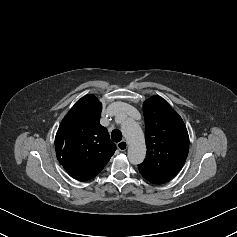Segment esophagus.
I'll return each mask as SVG.
<instances>
[{
  "label": "esophagus",
  "instance_id": "34e87169",
  "mask_svg": "<svg viewBox=\"0 0 237 237\" xmlns=\"http://www.w3.org/2000/svg\"><path fill=\"white\" fill-rule=\"evenodd\" d=\"M117 148L120 150V151H126L127 148H128V144L125 140H122L120 141L118 144H117Z\"/></svg>",
  "mask_w": 237,
  "mask_h": 237
}]
</instances>
